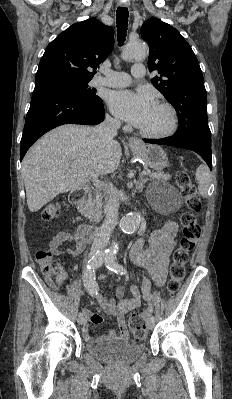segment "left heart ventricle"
<instances>
[{"instance_id": "b2bd125f", "label": "left heart ventricle", "mask_w": 232, "mask_h": 399, "mask_svg": "<svg viewBox=\"0 0 232 399\" xmlns=\"http://www.w3.org/2000/svg\"><path fill=\"white\" fill-rule=\"evenodd\" d=\"M169 124L170 116L167 110L159 105H153L149 116L137 129L144 133L157 134L166 130Z\"/></svg>"}]
</instances>
